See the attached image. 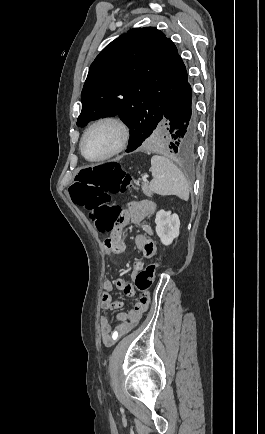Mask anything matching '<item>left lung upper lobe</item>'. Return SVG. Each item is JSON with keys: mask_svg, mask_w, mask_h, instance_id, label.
Masks as SVG:
<instances>
[{"mask_svg": "<svg viewBox=\"0 0 265 434\" xmlns=\"http://www.w3.org/2000/svg\"><path fill=\"white\" fill-rule=\"evenodd\" d=\"M188 78L176 46L154 27L135 28L106 46L91 64L77 126L119 115L130 128H156Z\"/></svg>", "mask_w": 265, "mask_h": 434, "instance_id": "1", "label": "left lung upper lobe"}]
</instances>
